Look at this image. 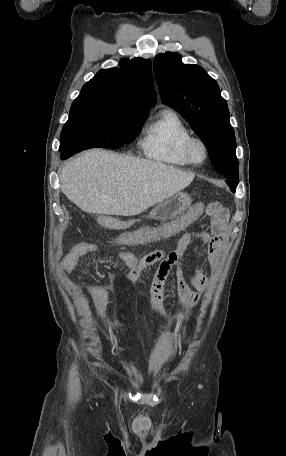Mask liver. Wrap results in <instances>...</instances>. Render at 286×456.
Instances as JSON below:
<instances>
[{
	"label": "liver",
	"mask_w": 286,
	"mask_h": 456,
	"mask_svg": "<svg viewBox=\"0 0 286 456\" xmlns=\"http://www.w3.org/2000/svg\"><path fill=\"white\" fill-rule=\"evenodd\" d=\"M195 174L160 162L92 149L66 162L61 190L87 213L134 216L186 188Z\"/></svg>",
	"instance_id": "obj_1"
}]
</instances>
